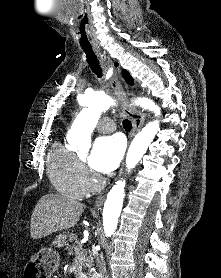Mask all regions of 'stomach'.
<instances>
[{"mask_svg": "<svg viewBox=\"0 0 221 278\" xmlns=\"http://www.w3.org/2000/svg\"><path fill=\"white\" fill-rule=\"evenodd\" d=\"M60 265L59 254L51 248H43L27 261L25 278H50Z\"/></svg>", "mask_w": 221, "mask_h": 278, "instance_id": "1", "label": "stomach"}]
</instances>
